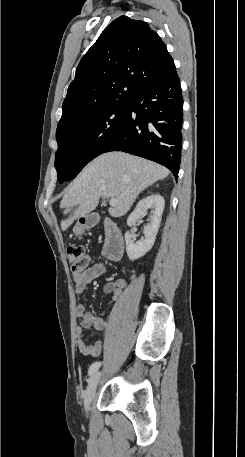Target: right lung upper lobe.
<instances>
[{
  "instance_id": "obj_1",
  "label": "right lung upper lobe",
  "mask_w": 245,
  "mask_h": 457,
  "mask_svg": "<svg viewBox=\"0 0 245 457\" xmlns=\"http://www.w3.org/2000/svg\"><path fill=\"white\" fill-rule=\"evenodd\" d=\"M175 70L159 35L146 22L121 16L81 59L58 126L111 102L131 100L147 82Z\"/></svg>"
}]
</instances>
